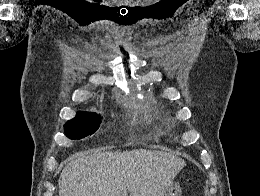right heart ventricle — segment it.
I'll use <instances>...</instances> for the list:
<instances>
[{
    "label": "right heart ventricle",
    "mask_w": 260,
    "mask_h": 196,
    "mask_svg": "<svg viewBox=\"0 0 260 196\" xmlns=\"http://www.w3.org/2000/svg\"><path fill=\"white\" fill-rule=\"evenodd\" d=\"M115 192H133L132 190H116ZM152 192V190H151Z\"/></svg>",
    "instance_id": "right-heart-ventricle-1"
}]
</instances>
